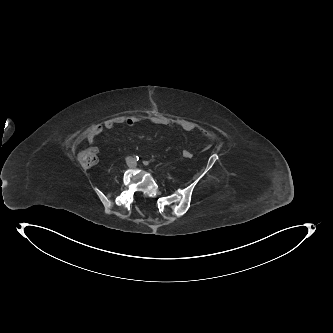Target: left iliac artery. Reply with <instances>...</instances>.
I'll return each mask as SVG.
<instances>
[{
  "instance_id": "left-iliac-artery-1",
  "label": "left iliac artery",
  "mask_w": 333,
  "mask_h": 333,
  "mask_svg": "<svg viewBox=\"0 0 333 333\" xmlns=\"http://www.w3.org/2000/svg\"><path fill=\"white\" fill-rule=\"evenodd\" d=\"M143 163H144L145 165H149V162H147V161H144Z\"/></svg>"
}]
</instances>
